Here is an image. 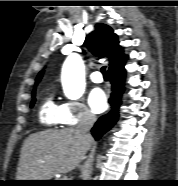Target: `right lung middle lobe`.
Segmentation results:
<instances>
[{
  "mask_svg": "<svg viewBox=\"0 0 178 186\" xmlns=\"http://www.w3.org/2000/svg\"><path fill=\"white\" fill-rule=\"evenodd\" d=\"M34 103H35V99L32 100L31 107L34 105Z\"/></svg>",
  "mask_w": 178,
  "mask_h": 186,
  "instance_id": "obj_1",
  "label": "right lung middle lobe"
}]
</instances>
